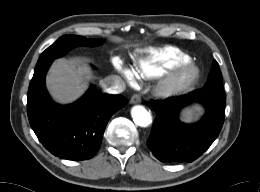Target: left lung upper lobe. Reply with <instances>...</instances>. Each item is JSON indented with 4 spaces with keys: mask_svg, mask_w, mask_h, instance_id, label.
<instances>
[{
    "mask_svg": "<svg viewBox=\"0 0 260 192\" xmlns=\"http://www.w3.org/2000/svg\"><path fill=\"white\" fill-rule=\"evenodd\" d=\"M204 88H222V75L219 70V64L214 60L213 67L210 71L208 81Z\"/></svg>",
    "mask_w": 260,
    "mask_h": 192,
    "instance_id": "left-lung-upper-lobe-1",
    "label": "left lung upper lobe"
}]
</instances>
